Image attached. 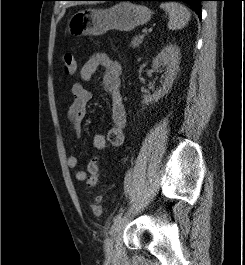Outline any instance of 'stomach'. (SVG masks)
Wrapping results in <instances>:
<instances>
[{
    "instance_id": "1",
    "label": "stomach",
    "mask_w": 245,
    "mask_h": 265,
    "mask_svg": "<svg viewBox=\"0 0 245 265\" xmlns=\"http://www.w3.org/2000/svg\"><path fill=\"white\" fill-rule=\"evenodd\" d=\"M153 12L144 5L121 2L107 9L88 8L73 14L68 32L73 36L101 35L108 30L131 31L144 25Z\"/></svg>"
}]
</instances>
